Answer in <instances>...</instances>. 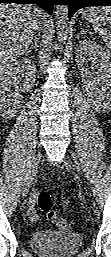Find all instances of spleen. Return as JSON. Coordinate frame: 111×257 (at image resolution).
<instances>
[{
  "label": "spleen",
  "instance_id": "spleen-1",
  "mask_svg": "<svg viewBox=\"0 0 111 257\" xmlns=\"http://www.w3.org/2000/svg\"><path fill=\"white\" fill-rule=\"evenodd\" d=\"M90 23H93L95 32L99 33L104 41L108 42V45H111V32L103 30L101 28L100 21H106L111 24V7H93L91 8L90 16L88 18Z\"/></svg>",
  "mask_w": 111,
  "mask_h": 257
}]
</instances>
